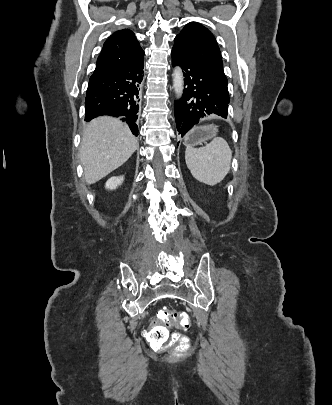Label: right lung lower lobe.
Masks as SVG:
<instances>
[{
    "instance_id": "obj_1",
    "label": "right lung lower lobe",
    "mask_w": 332,
    "mask_h": 405,
    "mask_svg": "<svg viewBox=\"0 0 332 405\" xmlns=\"http://www.w3.org/2000/svg\"><path fill=\"white\" fill-rule=\"evenodd\" d=\"M142 79L143 58L123 68L95 72L86 92V121L100 115L122 116V121L138 136L136 120Z\"/></svg>"
}]
</instances>
